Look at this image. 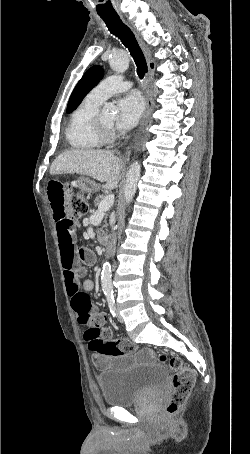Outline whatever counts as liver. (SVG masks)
I'll use <instances>...</instances> for the list:
<instances>
[{"instance_id": "liver-1", "label": "liver", "mask_w": 250, "mask_h": 454, "mask_svg": "<svg viewBox=\"0 0 250 454\" xmlns=\"http://www.w3.org/2000/svg\"><path fill=\"white\" fill-rule=\"evenodd\" d=\"M123 160L107 150H67L51 164L50 174H80L100 182L104 188L115 189L121 179Z\"/></svg>"}]
</instances>
